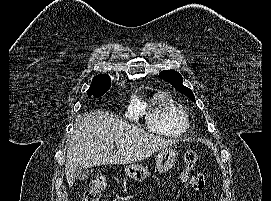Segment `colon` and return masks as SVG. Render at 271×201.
<instances>
[{
    "instance_id": "1",
    "label": "colon",
    "mask_w": 271,
    "mask_h": 201,
    "mask_svg": "<svg viewBox=\"0 0 271 201\" xmlns=\"http://www.w3.org/2000/svg\"><path fill=\"white\" fill-rule=\"evenodd\" d=\"M199 160V155L196 150H188L184 156V169L181 174V182H186L188 178V174ZM108 182L104 176H99L95 178L91 184L89 189L85 192L82 201H99L101 194L107 188Z\"/></svg>"
}]
</instances>
